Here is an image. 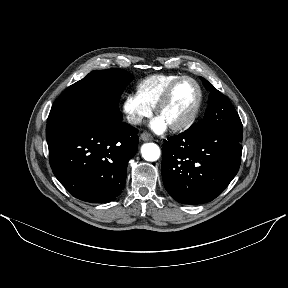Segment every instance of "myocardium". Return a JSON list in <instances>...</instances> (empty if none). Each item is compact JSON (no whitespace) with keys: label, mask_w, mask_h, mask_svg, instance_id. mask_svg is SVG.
<instances>
[{"label":"myocardium","mask_w":288,"mask_h":288,"mask_svg":"<svg viewBox=\"0 0 288 288\" xmlns=\"http://www.w3.org/2000/svg\"><path fill=\"white\" fill-rule=\"evenodd\" d=\"M183 80H189V81L193 82V84L196 86L197 100H196V103H195L193 110L188 115V117H186L183 121H181L179 123H176V124L169 126L170 129L173 131H182V130L189 128L196 121V119L200 113L202 102H203V91H202V88H201L200 84L198 83V81L191 76L182 75V76H179L178 78H176L175 80H173L168 85V87L165 89V91L163 92V94L161 95V97L159 98V100L155 106V114L157 116H159L161 110L169 102V100L173 94L174 89Z\"/></svg>","instance_id":"myocardium-1"}]
</instances>
